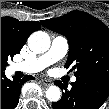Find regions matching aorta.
<instances>
[{"instance_id":"1","label":"aorta","mask_w":109,"mask_h":109,"mask_svg":"<svg viewBox=\"0 0 109 109\" xmlns=\"http://www.w3.org/2000/svg\"><path fill=\"white\" fill-rule=\"evenodd\" d=\"M28 46L34 53H44L50 47V37L46 32L36 31L28 38ZM46 97L51 102H57L61 98L60 88L50 86L46 90Z\"/></svg>"}]
</instances>
